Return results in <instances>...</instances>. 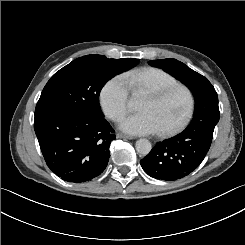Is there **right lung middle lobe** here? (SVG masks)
Here are the masks:
<instances>
[{"instance_id":"right-lung-middle-lobe-1","label":"right lung middle lobe","mask_w":245,"mask_h":245,"mask_svg":"<svg viewBox=\"0 0 245 245\" xmlns=\"http://www.w3.org/2000/svg\"><path fill=\"white\" fill-rule=\"evenodd\" d=\"M139 62L138 59H107L87 55L75 59L56 72L44 87L35 115L51 111H68L93 119H103L99 94L104 84L115 75Z\"/></svg>"}]
</instances>
